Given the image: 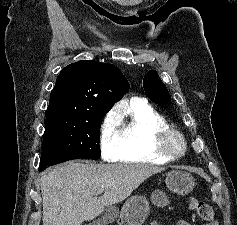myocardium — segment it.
<instances>
[{"label": "myocardium", "instance_id": "myocardium-1", "mask_svg": "<svg viewBox=\"0 0 237 225\" xmlns=\"http://www.w3.org/2000/svg\"><path fill=\"white\" fill-rule=\"evenodd\" d=\"M154 144L158 154L172 160L184 156L187 150L185 137L171 128L158 130L154 134Z\"/></svg>", "mask_w": 237, "mask_h": 225}]
</instances>
